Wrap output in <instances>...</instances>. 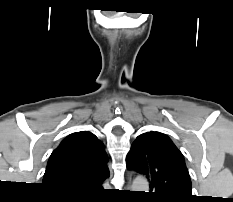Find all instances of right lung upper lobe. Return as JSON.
Instances as JSON below:
<instances>
[{
  "label": "right lung upper lobe",
  "mask_w": 233,
  "mask_h": 202,
  "mask_svg": "<svg viewBox=\"0 0 233 202\" xmlns=\"http://www.w3.org/2000/svg\"><path fill=\"white\" fill-rule=\"evenodd\" d=\"M108 160L103 143L93 133L70 134L52 152L43 185L58 196L94 195L109 176Z\"/></svg>",
  "instance_id": "1"
}]
</instances>
